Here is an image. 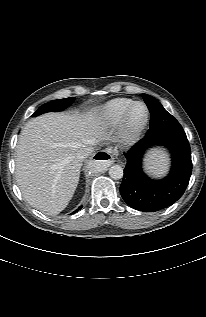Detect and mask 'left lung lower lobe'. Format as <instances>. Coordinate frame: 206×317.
I'll list each match as a JSON object with an SVG mask.
<instances>
[{"mask_svg":"<svg viewBox=\"0 0 206 317\" xmlns=\"http://www.w3.org/2000/svg\"><path fill=\"white\" fill-rule=\"evenodd\" d=\"M154 145L166 147L172 155L171 171L163 180L150 179L142 171L143 154ZM124 155L127 164L120 193L130 207L154 212L170 206L183 195L192 171L191 151L186 134L145 136Z\"/></svg>","mask_w":206,"mask_h":317,"instance_id":"obj_1","label":"left lung lower lobe"}]
</instances>
